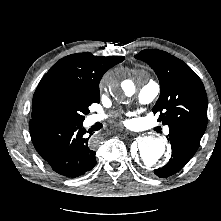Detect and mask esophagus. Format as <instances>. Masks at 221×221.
Returning <instances> with one entry per match:
<instances>
[{
    "instance_id": "34e87169",
    "label": "esophagus",
    "mask_w": 221,
    "mask_h": 221,
    "mask_svg": "<svg viewBox=\"0 0 221 221\" xmlns=\"http://www.w3.org/2000/svg\"><path fill=\"white\" fill-rule=\"evenodd\" d=\"M124 133H125L124 136H128V135H132L133 134L132 132H129V131H125Z\"/></svg>"
}]
</instances>
